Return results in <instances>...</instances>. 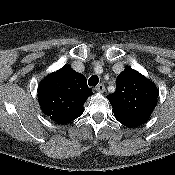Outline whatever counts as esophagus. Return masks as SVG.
I'll return each instance as SVG.
<instances>
[{"label": "esophagus", "mask_w": 175, "mask_h": 175, "mask_svg": "<svg viewBox=\"0 0 175 175\" xmlns=\"http://www.w3.org/2000/svg\"><path fill=\"white\" fill-rule=\"evenodd\" d=\"M95 90L97 91V92H99V93H103L104 91H105V86H104V84H99L96 88H95Z\"/></svg>", "instance_id": "obj_1"}]
</instances>
